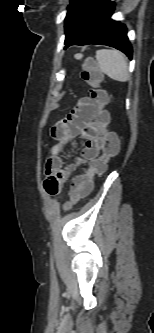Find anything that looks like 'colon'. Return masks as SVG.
<instances>
[{
	"label": "colon",
	"instance_id": "1",
	"mask_svg": "<svg viewBox=\"0 0 154 333\" xmlns=\"http://www.w3.org/2000/svg\"><path fill=\"white\" fill-rule=\"evenodd\" d=\"M82 80L90 87V96L97 105L96 121L103 133L102 154L89 163L88 169L82 175L76 176L70 185L69 200L65 203V209L69 210L79 200L89 194L93 187L94 177L106 171L108 162L115 157L120 149L117 134L109 130L110 115L105 109L108 95L100 87L103 75L92 59H87L81 71Z\"/></svg>",
	"mask_w": 154,
	"mask_h": 333
}]
</instances>
